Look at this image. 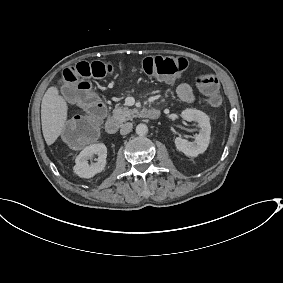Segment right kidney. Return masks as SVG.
I'll use <instances>...</instances> for the list:
<instances>
[{
    "mask_svg": "<svg viewBox=\"0 0 283 283\" xmlns=\"http://www.w3.org/2000/svg\"><path fill=\"white\" fill-rule=\"evenodd\" d=\"M98 155L97 162L88 164V159ZM107 148L104 144H92L85 147L75 159L74 172L81 178H91L100 173L106 165Z\"/></svg>",
    "mask_w": 283,
    "mask_h": 283,
    "instance_id": "ca27d5eb",
    "label": "right kidney"
}]
</instances>
